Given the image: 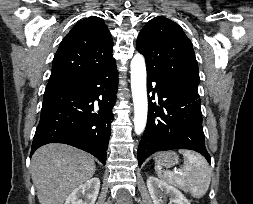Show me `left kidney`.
Masks as SVG:
<instances>
[{
    "instance_id": "left-kidney-1",
    "label": "left kidney",
    "mask_w": 253,
    "mask_h": 204,
    "mask_svg": "<svg viewBox=\"0 0 253 204\" xmlns=\"http://www.w3.org/2000/svg\"><path fill=\"white\" fill-rule=\"evenodd\" d=\"M147 187L154 204H165L167 197L168 204H191L178 189L156 177H148Z\"/></svg>"
}]
</instances>
